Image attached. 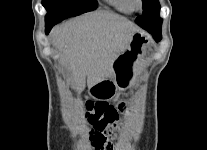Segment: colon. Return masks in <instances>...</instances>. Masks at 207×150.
Returning <instances> with one entry per match:
<instances>
[{"label": "colon", "mask_w": 207, "mask_h": 150, "mask_svg": "<svg viewBox=\"0 0 207 150\" xmlns=\"http://www.w3.org/2000/svg\"><path fill=\"white\" fill-rule=\"evenodd\" d=\"M124 104H120L119 110ZM86 118L92 129L90 138L96 150H112L113 143L117 141L120 134L118 123V109L105 102H88L86 104Z\"/></svg>", "instance_id": "1"}]
</instances>
